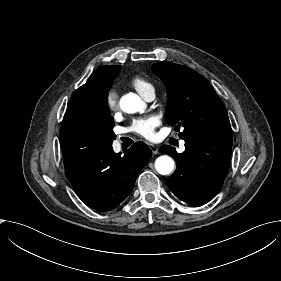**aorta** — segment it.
<instances>
[{
    "mask_svg": "<svg viewBox=\"0 0 281 281\" xmlns=\"http://www.w3.org/2000/svg\"><path fill=\"white\" fill-rule=\"evenodd\" d=\"M122 111L133 114L142 112L146 104L135 93H128L121 97L119 102ZM175 168V161L168 155H161L155 161V169L161 175H169Z\"/></svg>",
    "mask_w": 281,
    "mask_h": 281,
    "instance_id": "aorta-1",
    "label": "aorta"
}]
</instances>
